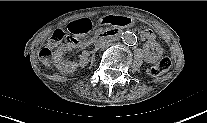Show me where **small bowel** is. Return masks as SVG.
Segmentation results:
<instances>
[{
	"instance_id": "obj_1",
	"label": "small bowel",
	"mask_w": 207,
	"mask_h": 123,
	"mask_svg": "<svg viewBox=\"0 0 207 123\" xmlns=\"http://www.w3.org/2000/svg\"><path fill=\"white\" fill-rule=\"evenodd\" d=\"M103 24L105 26H117V27H128L131 24V19L129 17L121 16H104ZM93 23L90 19H78L71 21L68 24V31L72 34L83 33L86 34L92 28ZM143 38L147 39L150 44L153 43L154 35L150 31L143 32Z\"/></svg>"
}]
</instances>
